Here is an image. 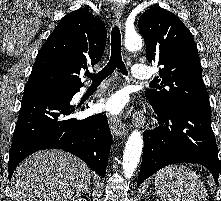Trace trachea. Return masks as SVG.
<instances>
[{
  "label": "trachea",
  "instance_id": "trachea-1",
  "mask_svg": "<svg viewBox=\"0 0 221 201\" xmlns=\"http://www.w3.org/2000/svg\"><path fill=\"white\" fill-rule=\"evenodd\" d=\"M118 68L124 75L128 74L121 55V34L118 26H114L111 32V57L107 65L97 74L87 73L93 83H100Z\"/></svg>",
  "mask_w": 221,
  "mask_h": 201
}]
</instances>
